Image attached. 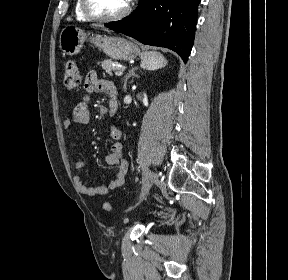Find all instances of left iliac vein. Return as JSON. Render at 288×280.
I'll list each match as a JSON object with an SVG mask.
<instances>
[{
	"label": "left iliac vein",
	"instance_id": "1",
	"mask_svg": "<svg viewBox=\"0 0 288 280\" xmlns=\"http://www.w3.org/2000/svg\"><path fill=\"white\" fill-rule=\"evenodd\" d=\"M148 173H146L147 175ZM150 174V173H149ZM158 181V177L157 176H152V178H144V182H145V187H142L141 193H140V197H139V201H141L145 195L148 193V191L150 190L153 182Z\"/></svg>",
	"mask_w": 288,
	"mask_h": 280
}]
</instances>
